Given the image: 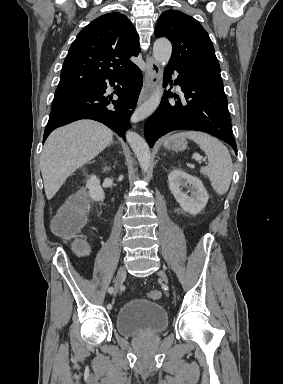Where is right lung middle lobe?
<instances>
[{
    "label": "right lung middle lobe",
    "mask_w": 283,
    "mask_h": 384,
    "mask_svg": "<svg viewBox=\"0 0 283 384\" xmlns=\"http://www.w3.org/2000/svg\"><path fill=\"white\" fill-rule=\"evenodd\" d=\"M89 91V88L71 89V90H56L52 110L60 108L64 105L70 104Z\"/></svg>",
    "instance_id": "obj_1"
}]
</instances>
